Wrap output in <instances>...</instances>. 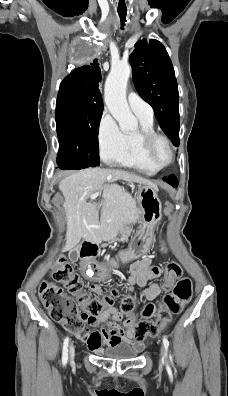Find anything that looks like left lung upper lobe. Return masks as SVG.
Masks as SVG:
<instances>
[{"label":"left lung upper lobe","mask_w":228,"mask_h":396,"mask_svg":"<svg viewBox=\"0 0 228 396\" xmlns=\"http://www.w3.org/2000/svg\"><path fill=\"white\" fill-rule=\"evenodd\" d=\"M138 94L149 103L162 130L179 145V94L172 62L157 40L143 39L129 57Z\"/></svg>","instance_id":"obj_1"}]
</instances>
